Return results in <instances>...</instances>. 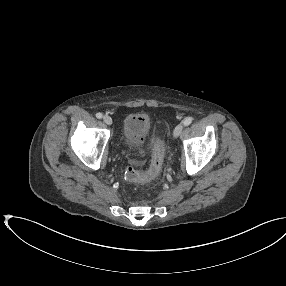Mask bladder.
Segmentation results:
<instances>
[{
  "label": "bladder",
  "instance_id": "obj_1",
  "mask_svg": "<svg viewBox=\"0 0 286 286\" xmlns=\"http://www.w3.org/2000/svg\"><path fill=\"white\" fill-rule=\"evenodd\" d=\"M150 119L144 114L128 115L123 122V141L127 146H139L150 134Z\"/></svg>",
  "mask_w": 286,
  "mask_h": 286
}]
</instances>
